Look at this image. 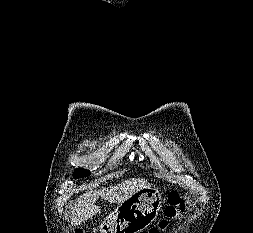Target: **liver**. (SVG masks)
I'll return each instance as SVG.
<instances>
[{"label":"liver","mask_w":253,"mask_h":233,"mask_svg":"<svg viewBox=\"0 0 253 233\" xmlns=\"http://www.w3.org/2000/svg\"><path fill=\"white\" fill-rule=\"evenodd\" d=\"M151 186L144 178H131L109 188L85 192L76 200L75 205L72 207L71 224L75 226L81 225L100 212L101 208L95 205L99 197L109 203H121L135 192Z\"/></svg>","instance_id":"liver-1"}]
</instances>
